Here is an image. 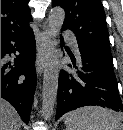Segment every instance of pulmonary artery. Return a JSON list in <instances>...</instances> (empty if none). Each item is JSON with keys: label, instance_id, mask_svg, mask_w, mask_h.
Segmentation results:
<instances>
[{"label": "pulmonary artery", "instance_id": "e3ab8cb5", "mask_svg": "<svg viewBox=\"0 0 123 130\" xmlns=\"http://www.w3.org/2000/svg\"><path fill=\"white\" fill-rule=\"evenodd\" d=\"M63 35H64V37H66L70 41L73 49L75 51H77L78 50V44H77L75 36L70 31H64Z\"/></svg>", "mask_w": 123, "mask_h": 130}]
</instances>
